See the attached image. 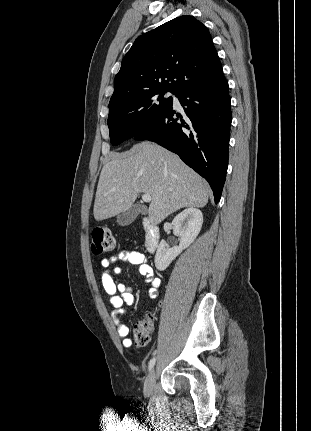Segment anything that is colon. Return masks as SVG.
<instances>
[{
  "label": "colon",
  "instance_id": "obj_1",
  "mask_svg": "<svg viewBox=\"0 0 311 431\" xmlns=\"http://www.w3.org/2000/svg\"><path fill=\"white\" fill-rule=\"evenodd\" d=\"M116 248V239L112 232L104 227H98L92 232L91 249L93 254L99 255L111 252ZM155 319L153 315H148L134 326V340L138 348H143L149 342V338L154 331Z\"/></svg>",
  "mask_w": 311,
  "mask_h": 431
}]
</instances>
